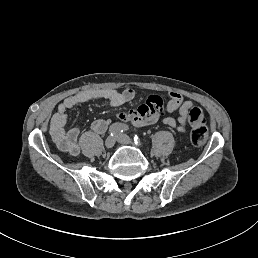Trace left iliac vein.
<instances>
[{
	"instance_id": "4c4485c4",
	"label": "left iliac vein",
	"mask_w": 258,
	"mask_h": 258,
	"mask_svg": "<svg viewBox=\"0 0 258 258\" xmlns=\"http://www.w3.org/2000/svg\"><path fill=\"white\" fill-rule=\"evenodd\" d=\"M117 141L120 142L122 145H130L131 144V139L129 136L123 134V135H118L117 136Z\"/></svg>"
}]
</instances>
